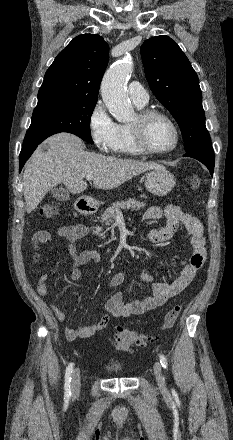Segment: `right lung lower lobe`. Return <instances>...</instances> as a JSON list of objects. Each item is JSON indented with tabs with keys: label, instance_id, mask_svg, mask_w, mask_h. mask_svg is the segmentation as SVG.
<instances>
[{
	"label": "right lung lower lobe",
	"instance_id": "1",
	"mask_svg": "<svg viewBox=\"0 0 233 440\" xmlns=\"http://www.w3.org/2000/svg\"><path fill=\"white\" fill-rule=\"evenodd\" d=\"M56 134V132H30L27 131L23 142L22 150L19 156V170L21 171L25 162L31 156L38 144L44 141L47 137Z\"/></svg>",
	"mask_w": 233,
	"mask_h": 440
}]
</instances>
